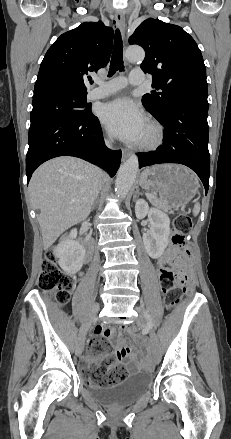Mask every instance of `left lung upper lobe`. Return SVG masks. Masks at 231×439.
I'll use <instances>...</instances> for the list:
<instances>
[{"instance_id":"obj_1","label":"left lung upper lobe","mask_w":231,"mask_h":439,"mask_svg":"<svg viewBox=\"0 0 231 439\" xmlns=\"http://www.w3.org/2000/svg\"><path fill=\"white\" fill-rule=\"evenodd\" d=\"M145 50L141 69L152 75L160 92L142 97V103L153 116L160 115L170 104L186 98L207 100L206 67L194 39L180 26L149 18L129 38Z\"/></svg>"}]
</instances>
